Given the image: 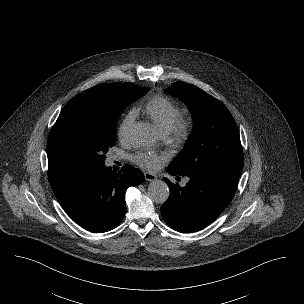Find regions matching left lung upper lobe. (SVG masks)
<instances>
[{
  "instance_id": "obj_1",
  "label": "left lung upper lobe",
  "mask_w": 304,
  "mask_h": 304,
  "mask_svg": "<svg viewBox=\"0 0 304 304\" xmlns=\"http://www.w3.org/2000/svg\"><path fill=\"white\" fill-rule=\"evenodd\" d=\"M166 93L183 100L194 119L188 145L169 167L182 176H218L237 182L243 151L237 125L225 105L183 82L173 83Z\"/></svg>"
}]
</instances>
